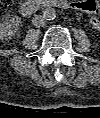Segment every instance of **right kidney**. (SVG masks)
Wrapping results in <instances>:
<instances>
[{"instance_id": "1", "label": "right kidney", "mask_w": 100, "mask_h": 118, "mask_svg": "<svg viewBox=\"0 0 100 118\" xmlns=\"http://www.w3.org/2000/svg\"><path fill=\"white\" fill-rule=\"evenodd\" d=\"M19 30V21L15 19H5L0 25V36L3 39H11Z\"/></svg>"}]
</instances>
